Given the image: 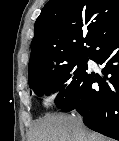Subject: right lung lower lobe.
Listing matches in <instances>:
<instances>
[{
    "instance_id": "obj_1",
    "label": "right lung lower lobe",
    "mask_w": 119,
    "mask_h": 141,
    "mask_svg": "<svg viewBox=\"0 0 119 141\" xmlns=\"http://www.w3.org/2000/svg\"><path fill=\"white\" fill-rule=\"evenodd\" d=\"M88 57L104 65V76L86 72L71 98L58 108L77 109L87 127L119 141V20L108 24ZM95 82L98 88L92 87Z\"/></svg>"
}]
</instances>
